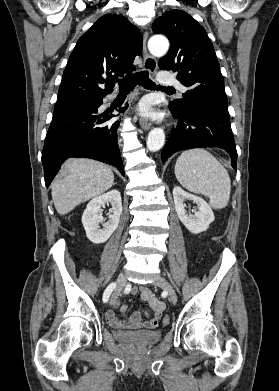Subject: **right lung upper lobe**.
Segmentation results:
<instances>
[{
	"mask_svg": "<svg viewBox=\"0 0 279 391\" xmlns=\"http://www.w3.org/2000/svg\"><path fill=\"white\" fill-rule=\"evenodd\" d=\"M142 43L139 29L127 18L112 14L99 18L69 57L55 108L111 93L118 77L135 70L132 63L142 52Z\"/></svg>",
	"mask_w": 279,
	"mask_h": 391,
	"instance_id": "1",
	"label": "right lung upper lobe"
}]
</instances>
